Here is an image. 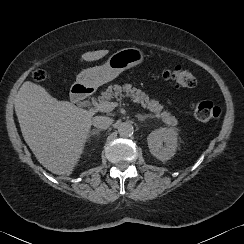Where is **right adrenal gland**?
Instances as JSON below:
<instances>
[{"instance_id":"obj_1","label":"right adrenal gland","mask_w":244,"mask_h":244,"mask_svg":"<svg viewBox=\"0 0 244 244\" xmlns=\"http://www.w3.org/2000/svg\"><path fill=\"white\" fill-rule=\"evenodd\" d=\"M100 129H93L92 131H91V133L89 134V137H91V136H93V135H95V134H99L100 133Z\"/></svg>"}]
</instances>
